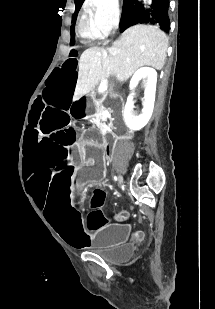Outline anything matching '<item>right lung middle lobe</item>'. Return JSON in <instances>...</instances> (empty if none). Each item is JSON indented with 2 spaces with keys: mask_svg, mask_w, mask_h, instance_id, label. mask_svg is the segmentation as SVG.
<instances>
[{
  "mask_svg": "<svg viewBox=\"0 0 215 309\" xmlns=\"http://www.w3.org/2000/svg\"><path fill=\"white\" fill-rule=\"evenodd\" d=\"M84 0H78L75 5H76V10H75V14H74V21L76 20L78 11L82 5ZM132 0H127L126 2H124L123 4V8H125L126 6H128V4L131 2ZM71 44H74V27H71Z\"/></svg>",
  "mask_w": 215,
  "mask_h": 309,
  "instance_id": "right-lung-middle-lobe-1",
  "label": "right lung middle lobe"
}]
</instances>
